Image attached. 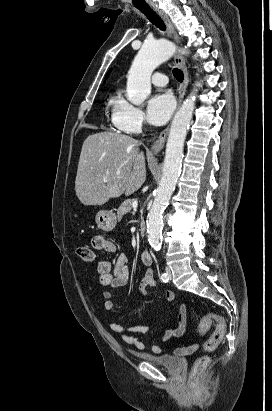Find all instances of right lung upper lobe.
<instances>
[{
  "instance_id": "right-lung-upper-lobe-1",
  "label": "right lung upper lobe",
  "mask_w": 272,
  "mask_h": 411,
  "mask_svg": "<svg viewBox=\"0 0 272 411\" xmlns=\"http://www.w3.org/2000/svg\"><path fill=\"white\" fill-rule=\"evenodd\" d=\"M111 70H109V72H110ZM109 72L107 73V75H106V78L108 77V75H109Z\"/></svg>"
}]
</instances>
